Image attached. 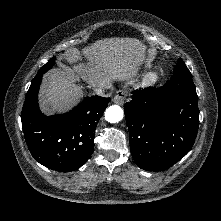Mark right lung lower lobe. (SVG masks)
<instances>
[{
	"instance_id": "obj_1",
	"label": "right lung lower lobe",
	"mask_w": 221,
	"mask_h": 221,
	"mask_svg": "<svg viewBox=\"0 0 221 221\" xmlns=\"http://www.w3.org/2000/svg\"><path fill=\"white\" fill-rule=\"evenodd\" d=\"M42 76L31 82L22 109L25 140L34 159L45 167L60 172L77 170L93 153L97 122L110 98L92 96L65 114L45 116L37 96Z\"/></svg>"
}]
</instances>
